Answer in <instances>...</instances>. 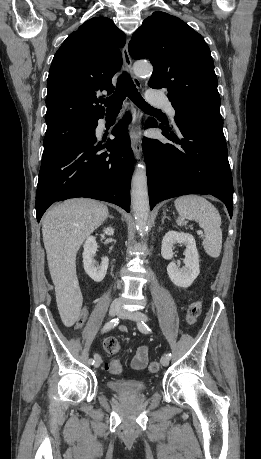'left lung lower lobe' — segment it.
Segmentation results:
<instances>
[{
  "label": "left lung lower lobe",
  "mask_w": 261,
  "mask_h": 459,
  "mask_svg": "<svg viewBox=\"0 0 261 459\" xmlns=\"http://www.w3.org/2000/svg\"><path fill=\"white\" fill-rule=\"evenodd\" d=\"M180 138L149 118L145 127H159L174 144L143 140L150 209L162 200L186 194H211L233 213V182L223 122L177 123Z\"/></svg>",
  "instance_id": "left-lung-lower-lobe-1"
}]
</instances>
